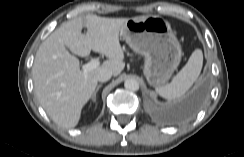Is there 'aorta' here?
<instances>
[{
  "mask_svg": "<svg viewBox=\"0 0 244 157\" xmlns=\"http://www.w3.org/2000/svg\"><path fill=\"white\" fill-rule=\"evenodd\" d=\"M124 87L129 91H137L139 89V83L136 79L129 78L125 80Z\"/></svg>",
  "mask_w": 244,
  "mask_h": 157,
  "instance_id": "obj_1",
  "label": "aorta"
}]
</instances>
